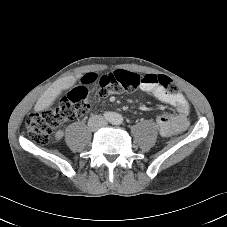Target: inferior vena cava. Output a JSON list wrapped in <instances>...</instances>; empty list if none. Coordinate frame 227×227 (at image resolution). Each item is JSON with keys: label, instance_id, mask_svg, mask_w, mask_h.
Segmentation results:
<instances>
[{"label": "inferior vena cava", "instance_id": "1", "mask_svg": "<svg viewBox=\"0 0 227 227\" xmlns=\"http://www.w3.org/2000/svg\"><path fill=\"white\" fill-rule=\"evenodd\" d=\"M89 126L93 129H99L107 124L106 120L100 115H94L89 119Z\"/></svg>", "mask_w": 227, "mask_h": 227}]
</instances>
